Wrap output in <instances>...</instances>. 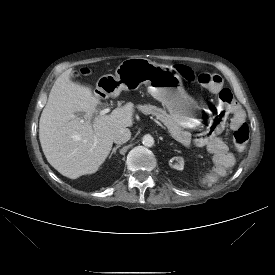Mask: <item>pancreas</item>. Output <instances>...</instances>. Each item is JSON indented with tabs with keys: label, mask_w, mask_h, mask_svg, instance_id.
<instances>
[{
	"label": "pancreas",
	"mask_w": 275,
	"mask_h": 275,
	"mask_svg": "<svg viewBox=\"0 0 275 275\" xmlns=\"http://www.w3.org/2000/svg\"><path fill=\"white\" fill-rule=\"evenodd\" d=\"M139 111H141L145 115H154L157 119H159L169 130L170 134L174 139L179 141L185 146H189L191 143V136L182 131L181 127L171 118L167 112L161 108H158L154 105H139Z\"/></svg>",
	"instance_id": "pancreas-1"
}]
</instances>
